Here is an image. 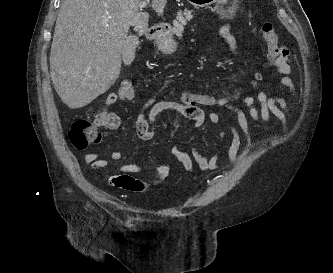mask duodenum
Masks as SVG:
<instances>
[{
	"mask_svg": "<svg viewBox=\"0 0 333 273\" xmlns=\"http://www.w3.org/2000/svg\"><path fill=\"white\" fill-rule=\"evenodd\" d=\"M162 31V27L157 25L148 29V36L151 39H155L157 35Z\"/></svg>",
	"mask_w": 333,
	"mask_h": 273,
	"instance_id": "duodenum-1",
	"label": "duodenum"
}]
</instances>
